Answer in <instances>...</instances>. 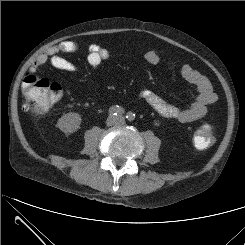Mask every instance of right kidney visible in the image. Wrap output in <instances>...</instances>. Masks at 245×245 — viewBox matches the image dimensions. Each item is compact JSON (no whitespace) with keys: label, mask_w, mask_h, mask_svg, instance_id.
I'll list each match as a JSON object with an SVG mask.
<instances>
[{"label":"right kidney","mask_w":245,"mask_h":245,"mask_svg":"<svg viewBox=\"0 0 245 245\" xmlns=\"http://www.w3.org/2000/svg\"><path fill=\"white\" fill-rule=\"evenodd\" d=\"M81 120L78 113H67L58 119L56 126L65 134H70L80 128Z\"/></svg>","instance_id":"obj_1"}]
</instances>
